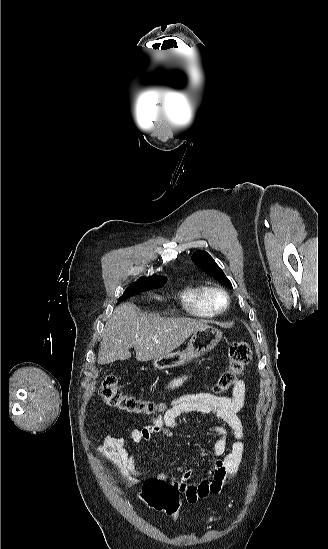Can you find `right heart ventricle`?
Returning a JSON list of instances; mask_svg holds the SVG:
<instances>
[{
  "label": "right heart ventricle",
  "mask_w": 328,
  "mask_h": 549,
  "mask_svg": "<svg viewBox=\"0 0 328 549\" xmlns=\"http://www.w3.org/2000/svg\"><path fill=\"white\" fill-rule=\"evenodd\" d=\"M209 290L210 287L207 285L194 284L183 291L181 305L182 310L186 311V319L202 321L217 316L211 310Z\"/></svg>",
  "instance_id": "right-heart-ventricle-1"
}]
</instances>
